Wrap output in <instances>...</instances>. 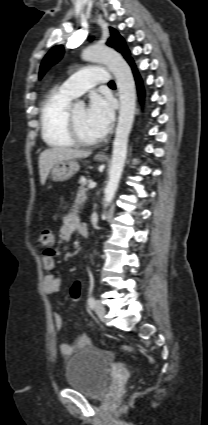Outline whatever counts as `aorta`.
<instances>
[{
  "mask_svg": "<svg viewBox=\"0 0 208 425\" xmlns=\"http://www.w3.org/2000/svg\"><path fill=\"white\" fill-rule=\"evenodd\" d=\"M82 59L85 61L104 63L115 76L119 91V117L113 142L112 160L108 173L109 179L104 190V202L105 207H107L114 198L127 157L128 137L134 121L136 108L135 82L127 62L118 52L111 48L98 45L90 46L83 51Z\"/></svg>",
  "mask_w": 208,
  "mask_h": 425,
  "instance_id": "aorta-1",
  "label": "aorta"
}]
</instances>
